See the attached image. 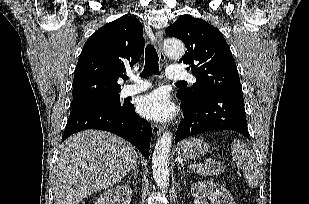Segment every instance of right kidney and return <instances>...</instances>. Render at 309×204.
I'll list each match as a JSON object with an SVG mask.
<instances>
[{"label": "right kidney", "mask_w": 309, "mask_h": 204, "mask_svg": "<svg viewBox=\"0 0 309 204\" xmlns=\"http://www.w3.org/2000/svg\"><path fill=\"white\" fill-rule=\"evenodd\" d=\"M132 190L129 185H120L116 188L108 189L104 192L95 204H115L119 201L121 204H130Z\"/></svg>", "instance_id": "ca27d5eb"}]
</instances>
